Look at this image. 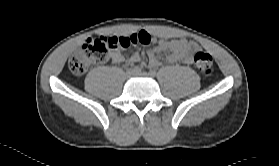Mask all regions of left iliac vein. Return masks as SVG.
<instances>
[{
  "instance_id": "1",
  "label": "left iliac vein",
  "mask_w": 279,
  "mask_h": 166,
  "mask_svg": "<svg viewBox=\"0 0 279 166\" xmlns=\"http://www.w3.org/2000/svg\"><path fill=\"white\" fill-rule=\"evenodd\" d=\"M137 76H144V77H148L151 76L149 73L147 72H140V73H136Z\"/></svg>"
}]
</instances>
